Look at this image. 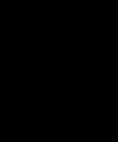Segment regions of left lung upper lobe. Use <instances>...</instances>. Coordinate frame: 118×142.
Listing matches in <instances>:
<instances>
[{
    "label": "left lung upper lobe",
    "mask_w": 118,
    "mask_h": 142,
    "mask_svg": "<svg viewBox=\"0 0 118 142\" xmlns=\"http://www.w3.org/2000/svg\"><path fill=\"white\" fill-rule=\"evenodd\" d=\"M78 91L72 110L94 128L104 130L118 118V70L90 51L69 56Z\"/></svg>",
    "instance_id": "5c2ea615"
}]
</instances>
